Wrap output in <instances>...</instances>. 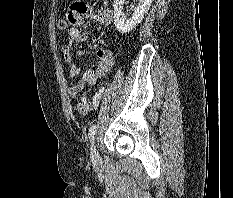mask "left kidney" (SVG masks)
<instances>
[{
  "label": "left kidney",
  "instance_id": "left-kidney-1",
  "mask_svg": "<svg viewBox=\"0 0 233 198\" xmlns=\"http://www.w3.org/2000/svg\"><path fill=\"white\" fill-rule=\"evenodd\" d=\"M153 0H139L138 5L134 8L132 17L126 18L123 14V4L125 0H114V24L116 29L121 33H127L134 29L143 20L148 12Z\"/></svg>",
  "mask_w": 233,
  "mask_h": 198
}]
</instances>
